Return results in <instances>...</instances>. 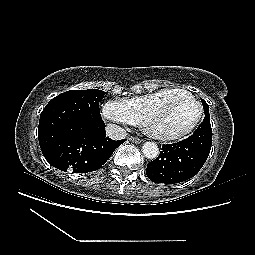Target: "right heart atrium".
<instances>
[{
    "label": "right heart atrium",
    "mask_w": 255,
    "mask_h": 255,
    "mask_svg": "<svg viewBox=\"0 0 255 255\" xmlns=\"http://www.w3.org/2000/svg\"><path fill=\"white\" fill-rule=\"evenodd\" d=\"M102 114L110 122L122 125H136L132 113L123 100H107L103 105Z\"/></svg>",
    "instance_id": "obj_1"
}]
</instances>
